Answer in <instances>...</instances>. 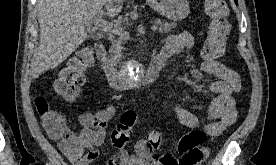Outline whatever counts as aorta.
I'll use <instances>...</instances> for the list:
<instances>
[{
	"label": "aorta",
	"instance_id": "aorta-1",
	"mask_svg": "<svg viewBox=\"0 0 276 165\" xmlns=\"http://www.w3.org/2000/svg\"><path fill=\"white\" fill-rule=\"evenodd\" d=\"M144 69L140 62L130 60L124 70V77L128 84L137 85L143 77Z\"/></svg>",
	"mask_w": 276,
	"mask_h": 165
}]
</instances>
